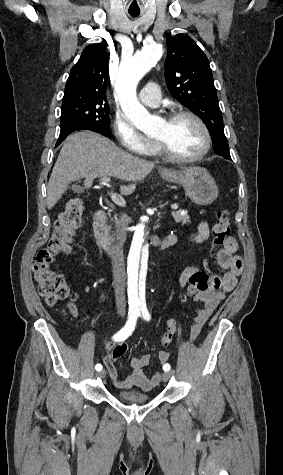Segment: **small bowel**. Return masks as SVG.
Masks as SVG:
<instances>
[{
	"instance_id": "c3829d8e",
	"label": "small bowel",
	"mask_w": 283,
	"mask_h": 475,
	"mask_svg": "<svg viewBox=\"0 0 283 475\" xmlns=\"http://www.w3.org/2000/svg\"><path fill=\"white\" fill-rule=\"evenodd\" d=\"M210 231L206 221H200L194 233L190 234L186 240L191 243H202L209 237ZM177 242L176 236H170V243ZM237 242L235 238L229 237L225 244L216 253V259L221 269L224 270L222 276L212 275L213 281L209 291H205L204 296H193L194 300L201 303L195 313L189 320L190 339L194 341L200 334L202 328L215 311L217 306L226 296L231 293L238 282L244 268L243 260L236 254ZM193 267V266H192ZM191 267L186 268L179 277V286L185 287L186 275L191 274ZM191 296L186 295L184 298ZM127 351V346L123 343L109 342L106 347L104 356V364L106 370L111 377L115 387L119 389H127L139 387L142 389H151L159 384L161 380V372L157 371L148 377L144 373V368L150 363L151 356L143 355L133 357L129 360L132 373L127 377H122L117 368L116 361L121 358ZM167 362H158L159 368H162Z\"/></svg>"
}]
</instances>
